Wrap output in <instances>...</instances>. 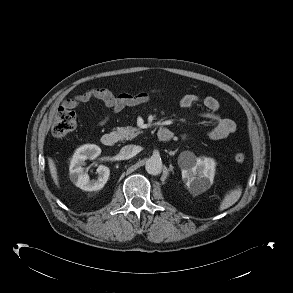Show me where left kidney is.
<instances>
[{
  "label": "left kidney",
  "mask_w": 293,
  "mask_h": 293,
  "mask_svg": "<svg viewBox=\"0 0 293 293\" xmlns=\"http://www.w3.org/2000/svg\"><path fill=\"white\" fill-rule=\"evenodd\" d=\"M182 179L193 195L205 192L213 184L215 161L212 158H193L181 167Z\"/></svg>",
  "instance_id": "obj_1"
}]
</instances>
